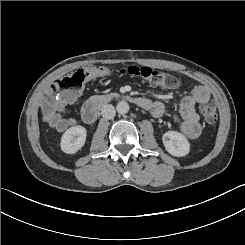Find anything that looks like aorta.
Returning a JSON list of instances; mask_svg holds the SVG:
<instances>
[{"label": "aorta", "mask_w": 245, "mask_h": 245, "mask_svg": "<svg viewBox=\"0 0 245 245\" xmlns=\"http://www.w3.org/2000/svg\"><path fill=\"white\" fill-rule=\"evenodd\" d=\"M129 104L126 101H120L116 105L117 112L121 115L128 113Z\"/></svg>", "instance_id": "762f6f07"}]
</instances>
